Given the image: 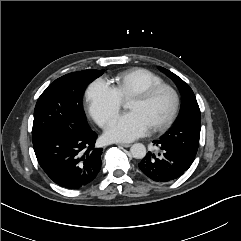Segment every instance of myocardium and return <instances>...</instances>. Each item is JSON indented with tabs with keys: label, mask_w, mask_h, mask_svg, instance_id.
I'll return each mask as SVG.
<instances>
[{
	"label": "myocardium",
	"mask_w": 241,
	"mask_h": 241,
	"mask_svg": "<svg viewBox=\"0 0 241 241\" xmlns=\"http://www.w3.org/2000/svg\"><path fill=\"white\" fill-rule=\"evenodd\" d=\"M162 90H167L171 94L172 99H173V104H172L171 112H170L169 116L167 117V119L165 121H163L162 123L152 126V129L154 131H164V130L168 129L169 127H171V125L174 123V121L178 115L179 108H180V97H179L177 90L173 86H171L167 83H160V84L152 85V86L136 93L135 95H133L131 97V99H139L142 101H149L157 93H159Z\"/></svg>",
	"instance_id": "1"
}]
</instances>
